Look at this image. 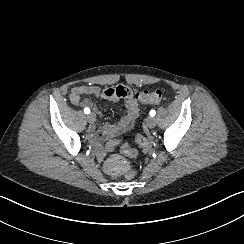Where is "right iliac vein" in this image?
I'll return each mask as SVG.
<instances>
[{
  "label": "right iliac vein",
  "mask_w": 244,
  "mask_h": 244,
  "mask_svg": "<svg viewBox=\"0 0 244 244\" xmlns=\"http://www.w3.org/2000/svg\"><path fill=\"white\" fill-rule=\"evenodd\" d=\"M87 120H88L89 123H94L95 120H96L95 114H93V113H89V114L87 115Z\"/></svg>",
  "instance_id": "right-iliac-vein-1"
}]
</instances>
